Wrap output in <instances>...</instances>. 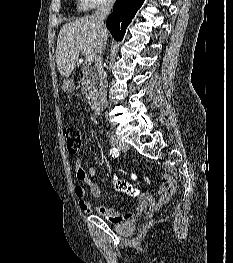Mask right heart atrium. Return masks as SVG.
Instances as JSON below:
<instances>
[{"label": "right heart atrium", "mask_w": 233, "mask_h": 263, "mask_svg": "<svg viewBox=\"0 0 233 263\" xmlns=\"http://www.w3.org/2000/svg\"><path fill=\"white\" fill-rule=\"evenodd\" d=\"M114 0H78L79 7L83 10L91 9L98 5L109 4Z\"/></svg>", "instance_id": "d8ad5b80"}]
</instances>
